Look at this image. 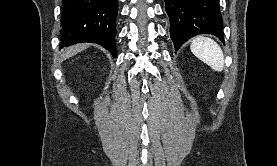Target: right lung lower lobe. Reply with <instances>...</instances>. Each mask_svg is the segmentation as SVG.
<instances>
[{
    "label": "right lung lower lobe",
    "mask_w": 277,
    "mask_h": 166,
    "mask_svg": "<svg viewBox=\"0 0 277 166\" xmlns=\"http://www.w3.org/2000/svg\"><path fill=\"white\" fill-rule=\"evenodd\" d=\"M117 12L118 0H63L61 45L97 43L116 57Z\"/></svg>",
    "instance_id": "right-lung-lower-lobe-1"
}]
</instances>
